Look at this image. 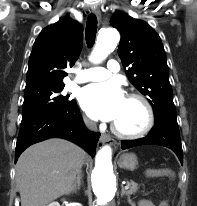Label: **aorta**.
I'll return each instance as SVG.
<instances>
[{
  "label": "aorta",
  "mask_w": 197,
  "mask_h": 206,
  "mask_svg": "<svg viewBox=\"0 0 197 206\" xmlns=\"http://www.w3.org/2000/svg\"><path fill=\"white\" fill-rule=\"evenodd\" d=\"M120 35L114 28H107L100 31L96 46L90 56V61L100 63L111 53ZM112 150L109 146L102 147L95 158V168L92 172V187L97 198V206H105L115 196L116 179L112 168Z\"/></svg>",
  "instance_id": "aorta-1"
}]
</instances>
